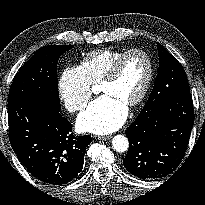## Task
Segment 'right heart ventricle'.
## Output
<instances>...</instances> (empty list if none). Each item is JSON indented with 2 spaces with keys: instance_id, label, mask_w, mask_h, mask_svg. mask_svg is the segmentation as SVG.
<instances>
[{
  "instance_id": "e07e8e85",
  "label": "right heart ventricle",
  "mask_w": 205,
  "mask_h": 205,
  "mask_svg": "<svg viewBox=\"0 0 205 205\" xmlns=\"http://www.w3.org/2000/svg\"><path fill=\"white\" fill-rule=\"evenodd\" d=\"M126 51L128 50L102 49L88 53L81 63V68L89 82L99 83L112 64Z\"/></svg>"
}]
</instances>
